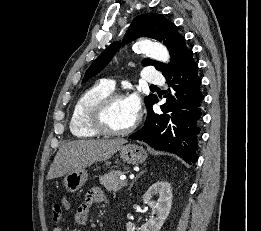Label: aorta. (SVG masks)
Segmentation results:
<instances>
[{
  "instance_id": "obj_1",
  "label": "aorta",
  "mask_w": 261,
  "mask_h": 231,
  "mask_svg": "<svg viewBox=\"0 0 261 231\" xmlns=\"http://www.w3.org/2000/svg\"><path fill=\"white\" fill-rule=\"evenodd\" d=\"M134 50L163 63H168L170 60L167 48L159 43H153L146 40L140 41L134 46Z\"/></svg>"
}]
</instances>
